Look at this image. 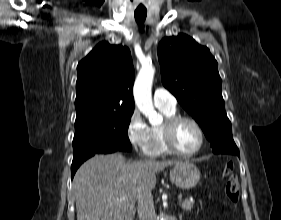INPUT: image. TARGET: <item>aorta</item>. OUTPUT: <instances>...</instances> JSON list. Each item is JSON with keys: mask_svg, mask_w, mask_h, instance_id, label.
<instances>
[{"mask_svg": "<svg viewBox=\"0 0 281 220\" xmlns=\"http://www.w3.org/2000/svg\"><path fill=\"white\" fill-rule=\"evenodd\" d=\"M155 68L153 66H143L139 71L133 88L134 100L138 109L145 115L152 125L162 122V116L158 114L152 102V83ZM165 220L160 216L158 220Z\"/></svg>", "mask_w": 281, "mask_h": 220, "instance_id": "aorta-1", "label": "aorta"}]
</instances>
